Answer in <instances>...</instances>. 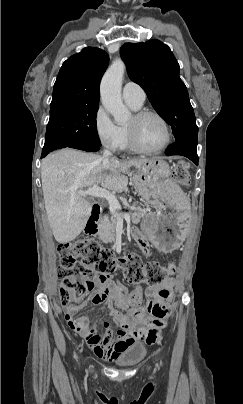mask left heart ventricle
<instances>
[{
  "label": "left heart ventricle",
  "instance_id": "obj_1",
  "mask_svg": "<svg viewBox=\"0 0 243 404\" xmlns=\"http://www.w3.org/2000/svg\"><path fill=\"white\" fill-rule=\"evenodd\" d=\"M126 125L134 130L138 140L147 148H158L167 140L166 127L155 115H147L139 120L132 116Z\"/></svg>",
  "mask_w": 243,
  "mask_h": 404
}]
</instances>
